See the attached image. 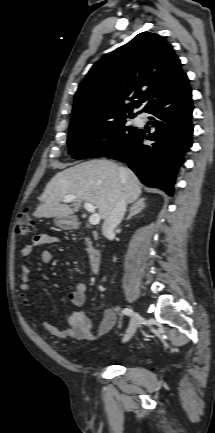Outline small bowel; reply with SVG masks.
I'll list each match as a JSON object with an SVG mask.
<instances>
[{"instance_id": "1", "label": "small bowel", "mask_w": 215, "mask_h": 433, "mask_svg": "<svg viewBox=\"0 0 215 433\" xmlns=\"http://www.w3.org/2000/svg\"><path fill=\"white\" fill-rule=\"evenodd\" d=\"M58 242V238L50 233H39L34 237L33 244L36 246H48ZM33 245L26 244L21 250L22 257H29L32 254ZM53 260L50 250H44L40 254V261L49 264ZM30 275L31 269L28 265L21 268V284L19 286L21 302L25 307H29L28 296L30 294ZM87 294V284L83 281L75 284L74 291L68 295V300L75 307H80L85 303ZM116 313L108 308L104 311L103 318L98 326L97 332L91 331V323L86 314L81 310L73 311L67 318V326L58 328L45 319H40L41 325L52 336L57 338H72L79 341H95L101 335L109 332L116 324Z\"/></svg>"}]
</instances>
